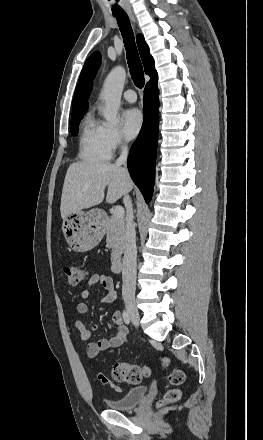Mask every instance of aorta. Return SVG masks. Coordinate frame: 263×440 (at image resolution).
Here are the masks:
<instances>
[{
	"label": "aorta",
	"mask_w": 263,
	"mask_h": 440,
	"mask_svg": "<svg viewBox=\"0 0 263 440\" xmlns=\"http://www.w3.org/2000/svg\"><path fill=\"white\" fill-rule=\"evenodd\" d=\"M125 79V69L121 66H117L112 69L104 81L100 98L104 102L103 115L109 124L114 125L118 122L117 114Z\"/></svg>",
	"instance_id": "obj_1"
}]
</instances>
